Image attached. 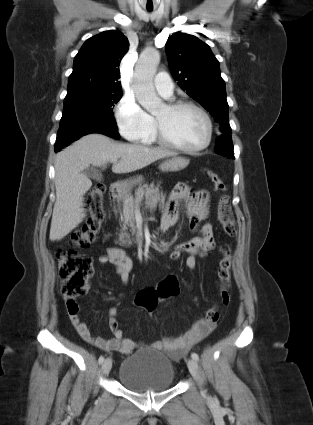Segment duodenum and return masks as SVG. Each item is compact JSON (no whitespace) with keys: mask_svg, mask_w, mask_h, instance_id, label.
Instances as JSON below:
<instances>
[{"mask_svg":"<svg viewBox=\"0 0 313 425\" xmlns=\"http://www.w3.org/2000/svg\"><path fill=\"white\" fill-rule=\"evenodd\" d=\"M120 192V186L118 183H112L109 186V194L110 198L115 201L119 195Z\"/></svg>","mask_w":313,"mask_h":425,"instance_id":"obj_1","label":"duodenum"}]
</instances>
